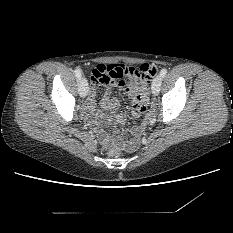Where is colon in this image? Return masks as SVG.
I'll return each instance as SVG.
<instances>
[{
  "mask_svg": "<svg viewBox=\"0 0 233 233\" xmlns=\"http://www.w3.org/2000/svg\"><path fill=\"white\" fill-rule=\"evenodd\" d=\"M155 74H156V67L151 64H142L138 67L124 65V71L121 76L122 78L123 77H129L132 79L137 78L141 81L150 82L154 78ZM91 76L94 81L100 82V83H106L110 79L106 70L101 67H98V68L96 67L92 71ZM147 99H148V96L145 93L143 92L138 93L137 95L138 102L144 103L147 101ZM106 152L109 155H119L123 153V149L119 146H110L106 149Z\"/></svg>",
  "mask_w": 233,
  "mask_h": 233,
  "instance_id": "colon-1",
  "label": "colon"
}]
</instances>
